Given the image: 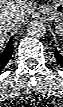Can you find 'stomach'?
<instances>
[{
  "label": "stomach",
  "instance_id": "obj_1",
  "mask_svg": "<svg viewBox=\"0 0 63 107\" xmlns=\"http://www.w3.org/2000/svg\"><path fill=\"white\" fill-rule=\"evenodd\" d=\"M38 12L52 21L59 32H63V0H55L52 3L41 4Z\"/></svg>",
  "mask_w": 63,
  "mask_h": 107
}]
</instances>
